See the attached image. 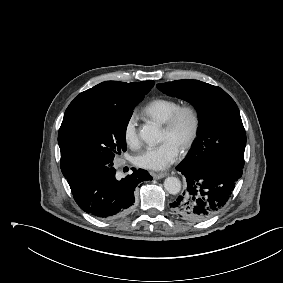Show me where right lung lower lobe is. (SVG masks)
<instances>
[{
    "instance_id": "right-lung-lower-lobe-1",
    "label": "right lung lower lobe",
    "mask_w": 283,
    "mask_h": 283,
    "mask_svg": "<svg viewBox=\"0 0 283 283\" xmlns=\"http://www.w3.org/2000/svg\"><path fill=\"white\" fill-rule=\"evenodd\" d=\"M131 175L117 180L112 166L88 167L67 178L74 200L86 213L99 218H114L129 212L134 205V190L152 180L143 169L132 168Z\"/></svg>"
}]
</instances>
